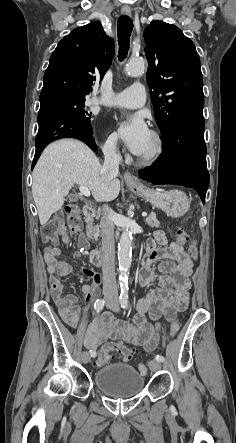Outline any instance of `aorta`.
<instances>
[{"instance_id": "aorta-1", "label": "aorta", "mask_w": 236, "mask_h": 443, "mask_svg": "<svg viewBox=\"0 0 236 443\" xmlns=\"http://www.w3.org/2000/svg\"><path fill=\"white\" fill-rule=\"evenodd\" d=\"M145 61L144 59H137L130 61L126 67V73L131 77H138L144 73ZM118 261H119V280L122 287L128 283L129 269L132 262V234L131 232L123 231L118 244Z\"/></svg>"}]
</instances>
